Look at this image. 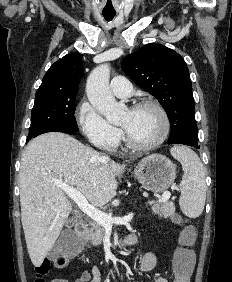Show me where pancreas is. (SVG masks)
<instances>
[{
  "label": "pancreas",
  "mask_w": 232,
  "mask_h": 282,
  "mask_svg": "<svg viewBox=\"0 0 232 282\" xmlns=\"http://www.w3.org/2000/svg\"><path fill=\"white\" fill-rule=\"evenodd\" d=\"M152 212L157 214L160 218H167L175 214V205L172 201H166L161 205H154ZM90 225L91 227L85 233V237L87 240L91 241L93 245L98 246L104 238L105 227L96 221H92Z\"/></svg>",
  "instance_id": "cf45deb5"
}]
</instances>
